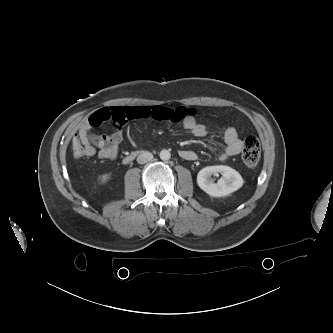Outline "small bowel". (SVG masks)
<instances>
[{"label":"small bowel","instance_id":"1","mask_svg":"<svg viewBox=\"0 0 333 333\" xmlns=\"http://www.w3.org/2000/svg\"><path fill=\"white\" fill-rule=\"evenodd\" d=\"M152 119L157 122L180 123L183 128L196 137L207 135L205 125L199 123L193 111L187 107L169 108L155 106H117L107 107L94 112L81 125L78 138L81 141L85 156H97L99 159L114 160L118 156L119 145L123 140L122 129L131 120ZM111 123L113 131L109 134H90V130ZM224 150L220 156L225 160L241 152L242 141L234 127H228L223 135ZM182 158L194 160L195 153L190 150L180 152Z\"/></svg>","mask_w":333,"mask_h":333}]
</instances>
